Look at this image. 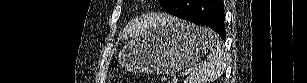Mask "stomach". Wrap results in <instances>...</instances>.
I'll return each mask as SVG.
<instances>
[{
  "mask_svg": "<svg viewBox=\"0 0 307 83\" xmlns=\"http://www.w3.org/2000/svg\"><path fill=\"white\" fill-rule=\"evenodd\" d=\"M212 44L207 29L177 18L144 30L119 52V63L132 72L170 74L191 66Z\"/></svg>",
  "mask_w": 307,
  "mask_h": 83,
  "instance_id": "obj_1",
  "label": "stomach"
}]
</instances>
